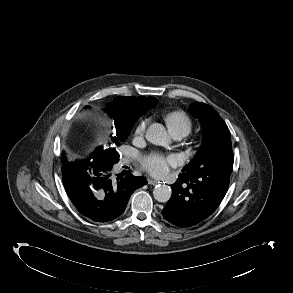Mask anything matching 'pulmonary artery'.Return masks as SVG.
I'll return each instance as SVG.
<instances>
[{
    "label": "pulmonary artery",
    "instance_id": "obj_1",
    "mask_svg": "<svg viewBox=\"0 0 293 293\" xmlns=\"http://www.w3.org/2000/svg\"><path fill=\"white\" fill-rule=\"evenodd\" d=\"M172 136L174 139L176 140H181L183 137H185L186 135L183 133H172Z\"/></svg>",
    "mask_w": 293,
    "mask_h": 293
}]
</instances>
